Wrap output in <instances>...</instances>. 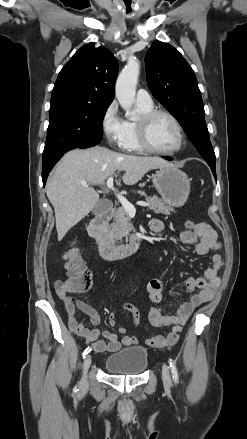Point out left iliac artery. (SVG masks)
I'll list each match as a JSON object with an SVG mask.
<instances>
[{
	"label": "left iliac artery",
	"instance_id": "44dca946",
	"mask_svg": "<svg viewBox=\"0 0 247 439\" xmlns=\"http://www.w3.org/2000/svg\"><path fill=\"white\" fill-rule=\"evenodd\" d=\"M169 365H170V368H171V372H172V376H173V381L175 383H177L179 381V378H178V371H177V367L175 365V362L172 359H170L169 360Z\"/></svg>",
	"mask_w": 247,
	"mask_h": 439
}]
</instances>
